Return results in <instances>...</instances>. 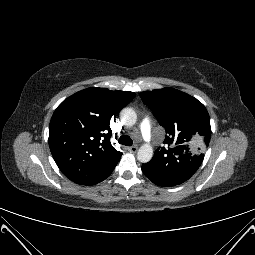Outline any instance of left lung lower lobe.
I'll use <instances>...</instances> for the list:
<instances>
[{
    "label": "left lung lower lobe",
    "instance_id": "left-lung-lower-lobe-1",
    "mask_svg": "<svg viewBox=\"0 0 255 255\" xmlns=\"http://www.w3.org/2000/svg\"><path fill=\"white\" fill-rule=\"evenodd\" d=\"M142 171H143V173L146 175V177H147L149 180H151L153 183H155V184L158 185V186H165V187L174 186V185H172V184H171L170 182H168V181H165V180H162V179H158V178H156V177L150 175L149 173H147V172L143 169V167H142Z\"/></svg>",
    "mask_w": 255,
    "mask_h": 255
}]
</instances>
